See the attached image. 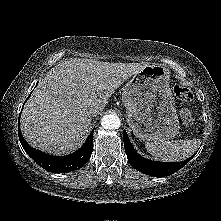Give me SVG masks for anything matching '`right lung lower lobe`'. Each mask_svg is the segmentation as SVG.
Listing matches in <instances>:
<instances>
[{
	"mask_svg": "<svg viewBox=\"0 0 221 221\" xmlns=\"http://www.w3.org/2000/svg\"><path fill=\"white\" fill-rule=\"evenodd\" d=\"M93 132L94 128L84 145L79 150L67 156L58 157L35 150L30 145H28L22 136L18 124V136L25 152L42 168L55 173L69 172L75 169H79L89 160L92 154Z\"/></svg>",
	"mask_w": 221,
	"mask_h": 221,
	"instance_id": "1",
	"label": "right lung lower lobe"
}]
</instances>
